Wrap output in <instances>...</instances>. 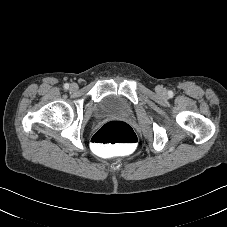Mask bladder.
I'll return each mask as SVG.
<instances>
[{"mask_svg": "<svg viewBox=\"0 0 227 227\" xmlns=\"http://www.w3.org/2000/svg\"><path fill=\"white\" fill-rule=\"evenodd\" d=\"M129 114V107L125 99L118 95H111L104 98L96 107L97 118L105 116H125Z\"/></svg>", "mask_w": 227, "mask_h": 227, "instance_id": "31cf9c89", "label": "bladder"}]
</instances>
